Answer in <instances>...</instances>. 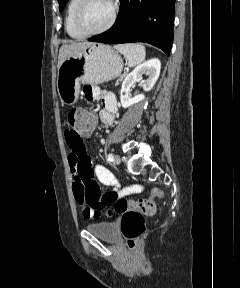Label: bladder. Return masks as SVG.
<instances>
[{"mask_svg": "<svg viewBox=\"0 0 240 288\" xmlns=\"http://www.w3.org/2000/svg\"><path fill=\"white\" fill-rule=\"evenodd\" d=\"M86 230L94 236L113 242L117 238V227L112 222H96L86 226Z\"/></svg>", "mask_w": 240, "mask_h": 288, "instance_id": "1", "label": "bladder"}]
</instances>
